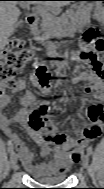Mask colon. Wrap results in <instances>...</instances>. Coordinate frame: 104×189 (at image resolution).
Listing matches in <instances>:
<instances>
[{
    "instance_id": "obj_1",
    "label": "colon",
    "mask_w": 104,
    "mask_h": 189,
    "mask_svg": "<svg viewBox=\"0 0 104 189\" xmlns=\"http://www.w3.org/2000/svg\"><path fill=\"white\" fill-rule=\"evenodd\" d=\"M84 51L81 58L90 62L94 72H102V64L99 54L104 50V40L99 32L94 28H88L82 36ZM33 58L32 50L26 45L25 41L15 38L10 42L9 49L4 53L0 66V95L7 96L10 91L17 90L24 85V80L18 75L29 65ZM36 79L44 89L48 87L51 78L49 69L42 65L35 72ZM93 119L102 117V105L95 103L90 107ZM33 129L41 136L44 141L52 139L49 126L41 119L32 118Z\"/></svg>"
}]
</instances>
